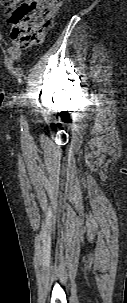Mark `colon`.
Wrapping results in <instances>:
<instances>
[{
    "instance_id": "obj_1",
    "label": "colon",
    "mask_w": 127,
    "mask_h": 303,
    "mask_svg": "<svg viewBox=\"0 0 127 303\" xmlns=\"http://www.w3.org/2000/svg\"><path fill=\"white\" fill-rule=\"evenodd\" d=\"M16 0H0L10 7ZM63 0H25L10 16L11 39L17 48H25L42 42L46 29L52 26L53 18Z\"/></svg>"
}]
</instances>
